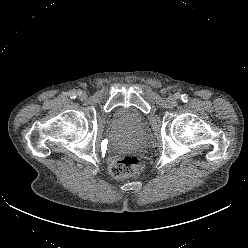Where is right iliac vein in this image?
I'll use <instances>...</instances> for the list:
<instances>
[{
  "label": "right iliac vein",
  "instance_id": "right-iliac-vein-1",
  "mask_svg": "<svg viewBox=\"0 0 248 248\" xmlns=\"http://www.w3.org/2000/svg\"><path fill=\"white\" fill-rule=\"evenodd\" d=\"M78 95H79V97H80L81 99H85V98H86V94L83 93V92H79Z\"/></svg>",
  "mask_w": 248,
  "mask_h": 248
}]
</instances>
